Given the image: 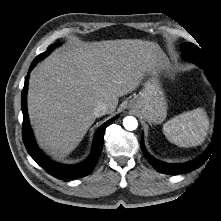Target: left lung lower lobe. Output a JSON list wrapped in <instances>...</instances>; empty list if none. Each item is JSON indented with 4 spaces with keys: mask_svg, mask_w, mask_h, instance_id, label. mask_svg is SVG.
I'll return each instance as SVG.
<instances>
[{
    "mask_svg": "<svg viewBox=\"0 0 221 221\" xmlns=\"http://www.w3.org/2000/svg\"><path fill=\"white\" fill-rule=\"evenodd\" d=\"M208 77V79L212 82L213 86L216 89L217 92V100H216V120H215V130H214V137L211 145L209 148L205 151L204 154H202L199 158L194 159L193 161L184 163V164H168L164 162H160L156 160L154 157H152L144 148L143 138L141 139V149L145 157L148 159V161L151 163V165L160 173L164 174H183L190 172L198 167H200L210 156L213 146L215 143L221 138V83L214 75V72L211 68V66L206 63L203 66H201Z\"/></svg>",
    "mask_w": 221,
    "mask_h": 221,
    "instance_id": "obj_1",
    "label": "left lung lower lobe"
}]
</instances>
